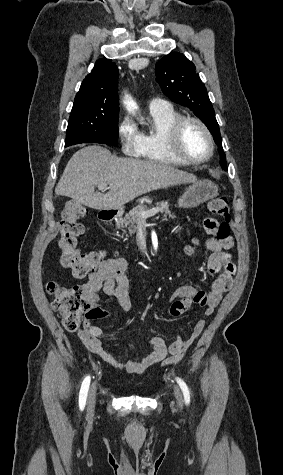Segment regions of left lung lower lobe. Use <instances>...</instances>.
Wrapping results in <instances>:
<instances>
[{"mask_svg": "<svg viewBox=\"0 0 283 475\" xmlns=\"http://www.w3.org/2000/svg\"><path fill=\"white\" fill-rule=\"evenodd\" d=\"M215 143L218 145V151L221 154L220 155V165L224 170H227L226 156H225V153L223 152L222 142H220V143L215 142Z\"/></svg>", "mask_w": 283, "mask_h": 475, "instance_id": "obj_1", "label": "left lung lower lobe"}]
</instances>
